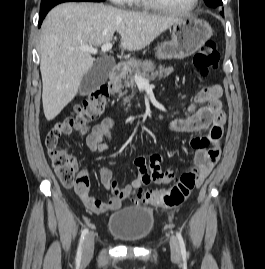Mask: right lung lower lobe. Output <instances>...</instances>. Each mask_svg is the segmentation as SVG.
I'll return each mask as SVG.
<instances>
[{
  "instance_id": "obj_1",
  "label": "right lung lower lobe",
  "mask_w": 265,
  "mask_h": 269,
  "mask_svg": "<svg viewBox=\"0 0 265 269\" xmlns=\"http://www.w3.org/2000/svg\"><path fill=\"white\" fill-rule=\"evenodd\" d=\"M104 0H42L40 6V18H39V27L48 13V11L53 8L55 5L63 2H102Z\"/></svg>"
}]
</instances>
